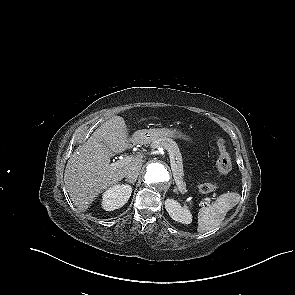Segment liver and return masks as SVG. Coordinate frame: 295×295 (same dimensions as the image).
<instances>
[{"mask_svg": "<svg viewBox=\"0 0 295 295\" xmlns=\"http://www.w3.org/2000/svg\"><path fill=\"white\" fill-rule=\"evenodd\" d=\"M129 141L124 119L114 116L103 123L70 156L64 180L67 192L78 210L86 211L101 192L119 183L125 176L127 167L141 168L142 157H135L123 166L110 164L112 156L128 149ZM131 141L138 142L134 137Z\"/></svg>", "mask_w": 295, "mask_h": 295, "instance_id": "liver-1", "label": "liver"}]
</instances>
